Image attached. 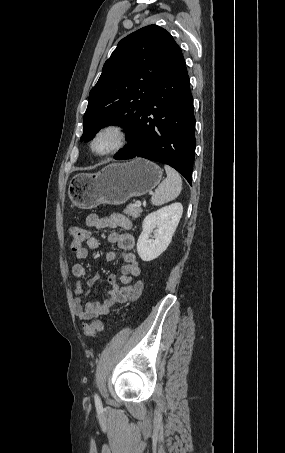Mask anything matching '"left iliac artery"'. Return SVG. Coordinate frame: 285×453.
<instances>
[{"mask_svg": "<svg viewBox=\"0 0 285 453\" xmlns=\"http://www.w3.org/2000/svg\"><path fill=\"white\" fill-rule=\"evenodd\" d=\"M94 400H95L96 408L101 409L102 408L101 400L97 394H95Z\"/></svg>", "mask_w": 285, "mask_h": 453, "instance_id": "obj_1", "label": "left iliac artery"}]
</instances>
